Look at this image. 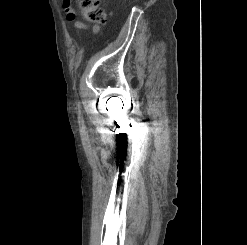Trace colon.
Returning <instances> with one entry per match:
<instances>
[{"label": "colon", "instance_id": "1", "mask_svg": "<svg viewBox=\"0 0 247 245\" xmlns=\"http://www.w3.org/2000/svg\"><path fill=\"white\" fill-rule=\"evenodd\" d=\"M83 16L93 23H102L106 19V13L99 8V0H78Z\"/></svg>", "mask_w": 247, "mask_h": 245}]
</instances>
